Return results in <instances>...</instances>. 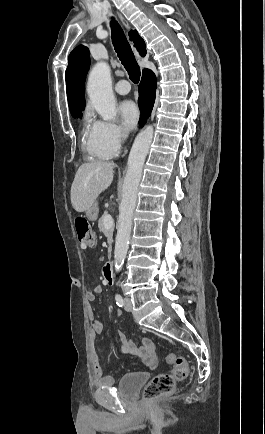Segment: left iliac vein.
I'll use <instances>...</instances> for the list:
<instances>
[{
  "mask_svg": "<svg viewBox=\"0 0 265 434\" xmlns=\"http://www.w3.org/2000/svg\"><path fill=\"white\" fill-rule=\"evenodd\" d=\"M124 308H125L126 311H131L132 310V303H131V300L129 298H125Z\"/></svg>",
  "mask_w": 265,
  "mask_h": 434,
  "instance_id": "4c4485c4",
  "label": "left iliac vein"
}]
</instances>
